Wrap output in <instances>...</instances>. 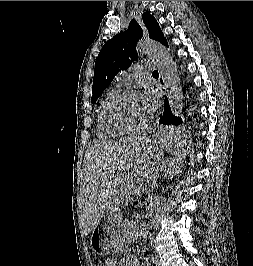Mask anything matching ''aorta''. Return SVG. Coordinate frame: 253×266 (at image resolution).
Masks as SVG:
<instances>
[{
	"label": "aorta",
	"instance_id": "aorta-1",
	"mask_svg": "<svg viewBox=\"0 0 253 266\" xmlns=\"http://www.w3.org/2000/svg\"><path fill=\"white\" fill-rule=\"evenodd\" d=\"M136 50L139 54H147L158 62V71L166 87L169 88L168 99L170 110L175 116L180 115L183 108V91L177 66L168 50L155 41H140Z\"/></svg>",
	"mask_w": 253,
	"mask_h": 266
}]
</instances>
